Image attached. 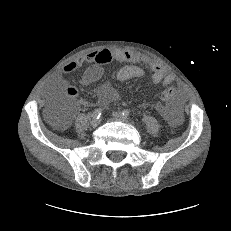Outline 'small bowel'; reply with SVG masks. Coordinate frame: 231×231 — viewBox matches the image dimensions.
<instances>
[{
    "label": "small bowel",
    "mask_w": 231,
    "mask_h": 231,
    "mask_svg": "<svg viewBox=\"0 0 231 231\" xmlns=\"http://www.w3.org/2000/svg\"><path fill=\"white\" fill-rule=\"evenodd\" d=\"M111 61L125 62L115 74L118 81L124 82L133 78H140L146 75L147 70L151 73V80L154 84L169 85L175 81V77L167 73L166 69L159 64L151 62L146 56L141 54L127 52L120 49L92 51L83 57L67 63L62 71L63 73H72L78 70L83 64L89 66L83 72L80 83L90 85L99 80L103 74V66ZM56 91L64 90L65 93L74 98L77 96V89L73 86H66L62 80L57 79L53 82ZM98 103L108 105L119 99L118 92L109 84H103L97 89ZM80 105H87L86 102H80ZM157 110L169 121L172 126H177L180 122L178 105L170 101L167 105H158ZM67 124L64 120L60 127Z\"/></svg>",
    "instance_id": "1"
}]
</instances>
